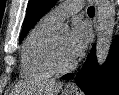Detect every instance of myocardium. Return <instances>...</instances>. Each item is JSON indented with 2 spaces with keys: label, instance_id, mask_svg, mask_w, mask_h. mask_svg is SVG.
Segmentation results:
<instances>
[{
  "label": "myocardium",
  "instance_id": "f54148a6",
  "mask_svg": "<svg viewBox=\"0 0 119 95\" xmlns=\"http://www.w3.org/2000/svg\"><path fill=\"white\" fill-rule=\"evenodd\" d=\"M49 59H50V64L55 72H60V73L67 72L72 70L76 65V62L74 60L69 63L61 62L58 55L55 38H52L51 40L50 50H49Z\"/></svg>",
  "mask_w": 119,
  "mask_h": 95
}]
</instances>
